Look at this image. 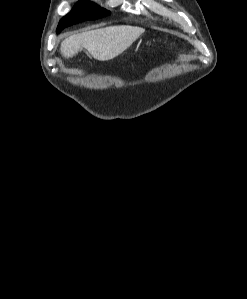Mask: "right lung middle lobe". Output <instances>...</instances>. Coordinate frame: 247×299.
Instances as JSON below:
<instances>
[{"mask_svg": "<svg viewBox=\"0 0 247 299\" xmlns=\"http://www.w3.org/2000/svg\"><path fill=\"white\" fill-rule=\"evenodd\" d=\"M109 14V11L91 1H79L75 4L74 8L60 20L57 33H60L65 27L78 22L98 19Z\"/></svg>", "mask_w": 247, "mask_h": 299, "instance_id": "obj_1", "label": "right lung middle lobe"}]
</instances>
